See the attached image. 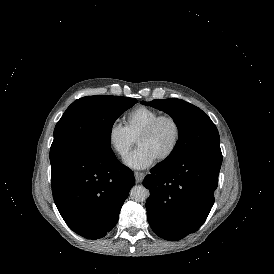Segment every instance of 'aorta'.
I'll use <instances>...</instances> for the list:
<instances>
[{
  "mask_svg": "<svg viewBox=\"0 0 274 274\" xmlns=\"http://www.w3.org/2000/svg\"><path fill=\"white\" fill-rule=\"evenodd\" d=\"M130 197L136 202L145 201L149 197V190L142 185H135L130 191Z\"/></svg>",
  "mask_w": 274,
  "mask_h": 274,
  "instance_id": "1",
  "label": "aorta"
}]
</instances>
